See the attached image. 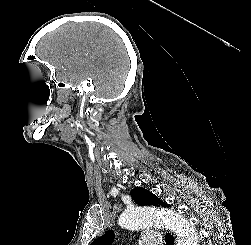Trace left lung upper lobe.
Instances as JSON below:
<instances>
[{"label":"left lung upper lobe","mask_w":251,"mask_h":245,"mask_svg":"<svg viewBox=\"0 0 251 245\" xmlns=\"http://www.w3.org/2000/svg\"><path fill=\"white\" fill-rule=\"evenodd\" d=\"M131 197L134 202L140 206L151 205L158 207H170L169 204L163 202L156 195L142 187H135L134 189H132ZM113 241L114 232L112 230H109L103 236L95 239L90 245H112Z\"/></svg>","instance_id":"1"}]
</instances>
